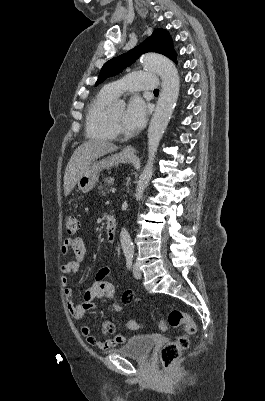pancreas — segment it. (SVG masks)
<instances>
[{
  "mask_svg": "<svg viewBox=\"0 0 265 401\" xmlns=\"http://www.w3.org/2000/svg\"><path fill=\"white\" fill-rule=\"evenodd\" d=\"M104 182H106V184H108V186H104ZM104 182H100V184L98 186V190H99L100 194H106L105 190H107V192H110V186H111V184H113L112 176H107V178H105Z\"/></svg>",
  "mask_w": 265,
  "mask_h": 401,
  "instance_id": "1",
  "label": "pancreas"
}]
</instances>
